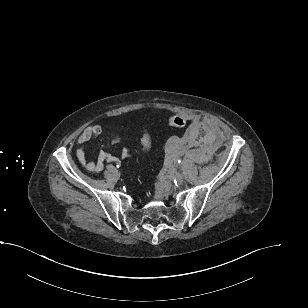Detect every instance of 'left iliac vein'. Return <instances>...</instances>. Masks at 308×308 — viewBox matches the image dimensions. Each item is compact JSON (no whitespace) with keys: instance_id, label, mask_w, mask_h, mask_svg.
Wrapping results in <instances>:
<instances>
[{"instance_id":"1","label":"left iliac vein","mask_w":308,"mask_h":308,"mask_svg":"<svg viewBox=\"0 0 308 308\" xmlns=\"http://www.w3.org/2000/svg\"><path fill=\"white\" fill-rule=\"evenodd\" d=\"M174 178H175V182H176L177 185L183 184L184 178L181 174H175Z\"/></svg>"}]
</instances>
